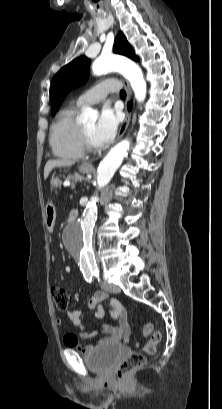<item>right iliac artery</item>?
<instances>
[{
	"label": "right iliac artery",
	"instance_id": "right-iliac-artery-1",
	"mask_svg": "<svg viewBox=\"0 0 222 409\" xmlns=\"http://www.w3.org/2000/svg\"><path fill=\"white\" fill-rule=\"evenodd\" d=\"M92 277H93V271H87L86 273H84V278L87 282H91L92 281Z\"/></svg>",
	"mask_w": 222,
	"mask_h": 409
}]
</instances>
